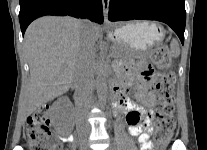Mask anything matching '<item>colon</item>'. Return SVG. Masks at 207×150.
Returning <instances> with one entry per match:
<instances>
[{"label":"colon","mask_w":207,"mask_h":150,"mask_svg":"<svg viewBox=\"0 0 207 150\" xmlns=\"http://www.w3.org/2000/svg\"><path fill=\"white\" fill-rule=\"evenodd\" d=\"M151 59L159 68H166L169 64V51L166 46L156 47ZM174 74L162 71L157 76L155 90L158 97V105L155 115L154 140L157 150L163 148L169 142L174 129ZM26 135L29 150H60L58 140L50 131V120L47 108H39L33 112L26 121Z\"/></svg>","instance_id":"obj_1"}]
</instances>
